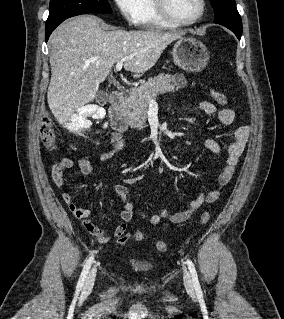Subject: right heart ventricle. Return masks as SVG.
Here are the masks:
<instances>
[{
  "label": "right heart ventricle",
  "instance_id": "right-heart-ventricle-1",
  "mask_svg": "<svg viewBox=\"0 0 284 319\" xmlns=\"http://www.w3.org/2000/svg\"><path fill=\"white\" fill-rule=\"evenodd\" d=\"M142 4L143 10L139 25L144 28H165L173 26L157 14L153 0H143Z\"/></svg>",
  "mask_w": 284,
  "mask_h": 319
}]
</instances>
